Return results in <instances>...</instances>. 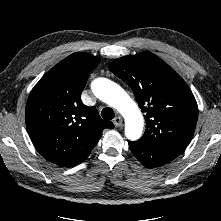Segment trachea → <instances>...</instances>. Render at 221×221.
I'll return each instance as SVG.
<instances>
[{"instance_id": "obj_1", "label": "trachea", "mask_w": 221, "mask_h": 221, "mask_svg": "<svg viewBox=\"0 0 221 221\" xmlns=\"http://www.w3.org/2000/svg\"><path fill=\"white\" fill-rule=\"evenodd\" d=\"M101 115H102L103 119H105V120H112L114 118L115 114L111 108L106 107L101 111Z\"/></svg>"}]
</instances>
